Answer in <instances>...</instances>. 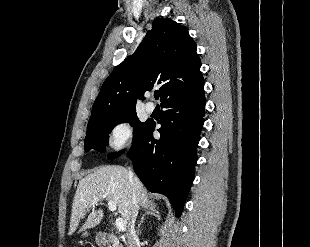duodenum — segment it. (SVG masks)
<instances>
[{
	"instance_id": "obj_1",
	"label": "duodenum",
	"mask_w": 310,
	"mask_h": 247,
	"mask_svg": "<svg viewBox=\"0 0 310 247\" xmlns=\"http://www.w3.org/2000/svg\"><path fill=\"white\" fill-rule=\"evenodd\" d=\"M99 244L101 247H121L118 238L110 233H104L99 238Z\"/></svg>"
}]
</instances>
